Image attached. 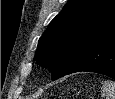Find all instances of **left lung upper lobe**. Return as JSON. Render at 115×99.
Wrapping results in <instances>:
<instances>
[{
	"label": "left lung upper lobe",
	"instance_id": "obj_1",
	"mask_svg": "<svg viewBox=\"0 0 115 99\" xmlns=\"http://www.w3.org/2000/svg\"><path fill=\"white\" fill-rule=\"evenodd\" d=\"M114 26L115 0H70L39 39L34 60L59 79Z\"/></svg>",
	"mask_w": 115,
	"mask_h": 99
}]
</instances>
